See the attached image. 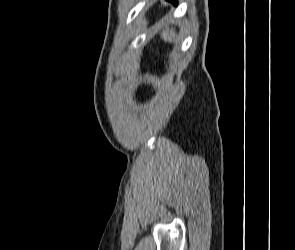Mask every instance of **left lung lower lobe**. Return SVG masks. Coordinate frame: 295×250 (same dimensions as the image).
Instances as JSON below:
<instances>
[{
	"instance_id": "obj_1",
	"label": "left lung lower lobe",
	"mask_w": 295,
	"mask_h": 250,
	"mask_svg": "<svg viewBox=\"0 0 295 250\" xmlns=\"http://www.w3.org/2000/svg\"><path fill=\"white\" fill-rule=\"evenodd\" d=\"M169 2H172L174 5H177V0H167Z\"/></svg>"
}]
</instances>
